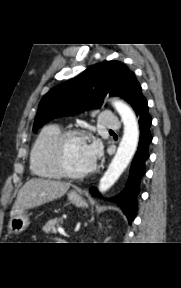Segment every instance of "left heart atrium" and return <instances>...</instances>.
Listing matches in <instances>:
<instances>
[{
    "mask_svg": "<svg viewBox=\"0 0 181 288\" xmlns=\"http://www.w3.org/2000/svg\"><path fill=\"white\" fill-rule=\"evenodd\" d=\"M99 152H100V147L97 143H91V144L87 145V154H88V157L92 163L98 157Z\"/></svg>",
    "mask_w": 181,
    "mask_h": 288,
    "instance_id": "1",
    "label": "left heart atrium"
}]
</instances>
